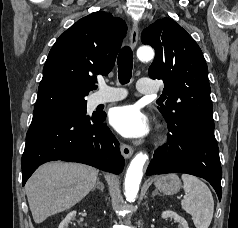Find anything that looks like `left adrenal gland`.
Listing matches in <instances>:
<instances>
[{
	"label": "left adrenal gland",
	"mask_w": 238,
	"mask_h": 228,
	"mask_svg": "<svg viewBox=\"0 0 238 228\" xmlns=\"http://www.w3.org/2000/svg\"><path fill=\"white\" fill-rule=\"evenodd\" d=\"M159 195V192L157 191V189H155L153 192H152V197H154L155 195Z\"/></svg>",
	"instance_id": "left-adrenal-gland-1"
}]
</instances>
